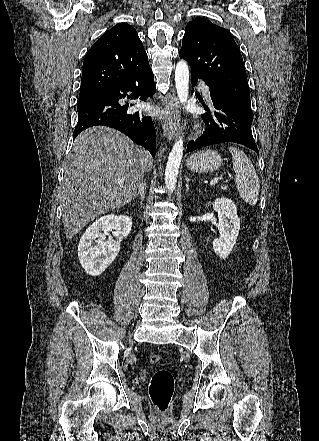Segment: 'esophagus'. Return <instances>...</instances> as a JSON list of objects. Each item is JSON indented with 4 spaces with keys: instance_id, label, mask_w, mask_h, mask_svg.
Returning <instances> with one entry per match:
<instances>
[{
    "instance_id": "34e87169",
    "label": "esophagus",
    "mask_w": 319,
    "mask_h": 441,
    "mask_svg": "<svg viewBox=\"0 0 319 441\" xmlns=\"http://www.w3.org/2000/svg\"><path fill=\"white\" fill-rule=\"evenodd\" d=\"M179 101L175 95L168 97V114L163 125V135L168 142H172L177 132L178 127V114H179Z\"/></svg>"
}]
</instances>
